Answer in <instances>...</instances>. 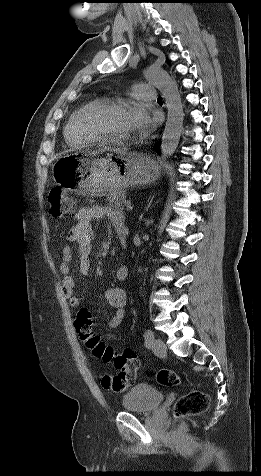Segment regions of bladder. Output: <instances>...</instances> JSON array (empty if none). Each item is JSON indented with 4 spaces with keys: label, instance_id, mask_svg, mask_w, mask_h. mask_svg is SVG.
Masks as SVG:
<instances>
[{
    "label": "bladder",
    "instance_id": "bladder-1",
    "mask_svg": "<svg viewBox=\"0 0 261 476\" xmlns=\"http://www.w3.org/2000/svg\"><path fill=\"white\" fill-rule=\"evenodd\" d=\"M164 399L159 389L148 384L131 387L122 398V408L133 413L148 414L155 411Z\"/></svg>",
    "mask_w": 261,
    "mask_h": 476
}]
</instances>
